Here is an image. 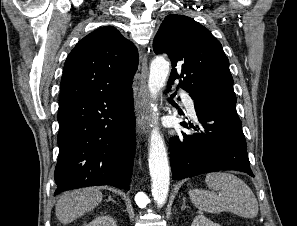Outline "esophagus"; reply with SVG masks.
<instances>
[{
  "label": "esophagus",
  "instance_id": "obj_1",
  "mask_svg": "<svg viewBox=\"0 0 297 226\" xmlns=\"http://www.w3.org/2000/svg\"><path fill=\"white\" fill-rule=\"evenodd\" d=\"M148 62L146 54L142 57L141 78L136 95L137 130L146 134L149 129V91L147 87Z\"/></svg>",
  "mask_w": 297,
  "mask_h": 226
}]
</instances>
